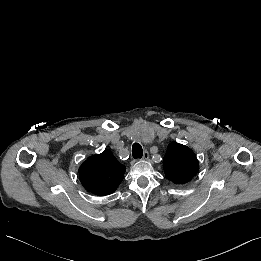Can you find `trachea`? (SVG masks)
<instances>
[{"label":"trachea","instance_id":"obj_1","mask_svg":"<svg viewBox=\"0 0 261 261\" xmlns=\"http://www.w3.org/2000/svg\"><path fill=\"white\" fill-rule=\"evenodd\" d=\"M132 155L135 159L141 158L143 156V149L138 142H134L132 145Z\"/></svg>","mask_w":261,"mask_h":261}]
</instances>
